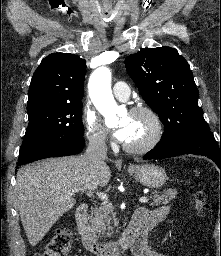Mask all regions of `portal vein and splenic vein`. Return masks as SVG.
<instances>
[{"instance_id": "18ae733b", "label": "portal vein and splenic vein", "mask_w": 221, "mask_h": 256, "mask_svg": "<svg viewBox=\"0 0 221 256\" xmlns=\"http://www.w3.org/2000/svg\"><path fill=\"white\" fill-rule=\"evenodd\" d=\"M76 193V191H72V195H74ZM96 195L101 198L103 201L107 202L108 201V197L105 193L103 192H97ZM149 201V199L147 197H140L139 198V202L141 203H147Z\"/></svg>"}]
</instances>
